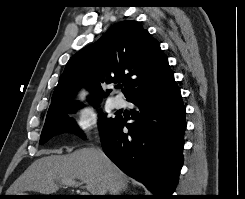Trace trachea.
<instances>
[{
  "instance_id": "1",
  "label": "trachea",
  "mask_w": 245,
  "mask_h": 199,
  "mask_svg": "<svg viewBox=\"0 0 245 199\" xmlns=\"http://www.w3.org/2000/svg\"><path fill=\"white\" fill-rule=\"evenodd\" d=\"M118 88H122V86H121V85H119V86H118Z\"/></svg>"
}]
</instances>
